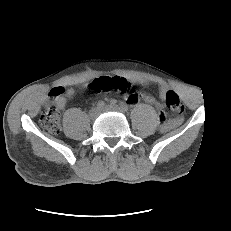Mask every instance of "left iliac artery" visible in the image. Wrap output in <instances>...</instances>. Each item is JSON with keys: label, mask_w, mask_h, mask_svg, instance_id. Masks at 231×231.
<instances>
[{"label": "left iliac artery", "mask_w": 231, "mask_h": 231, "mask_svg": "<svg viewBox=\"0 0 231 231\" xmlns=\"http://www.w3.org/2000/svg\"><path fill=\"white\" fill-rule=\"evenodd\" d=\"M120 108L124 111V112H127L128 111V106L126 104H121L120 105Z\"/></svg>", "instance_id": "left-iliac-artery-1"}]
</instances>
